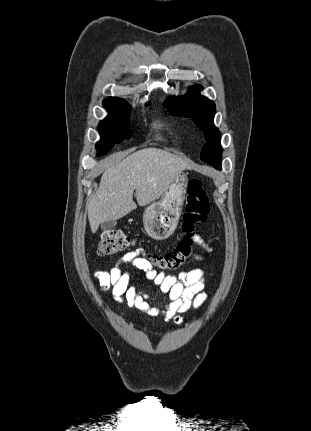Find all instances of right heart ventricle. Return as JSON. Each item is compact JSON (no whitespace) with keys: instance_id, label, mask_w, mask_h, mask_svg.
Returning a JSON list of instances; mask_svg holds the SVG:
<instances>
[{"instance_id":"obj_1","label":"right heart ventricle","mask_w":311,"mask_h":431,"mask_svg":"<svg viewBox=\"0 0 311 431\" xmlns=\"http://www.w3.org/2000/svg\"><path fill=\"white\" fill-rule=\"evenodd\" d=\"M158 138H162L163 137V134L162 133H157V135H156Z\"/></svg>"}]
</instances>
